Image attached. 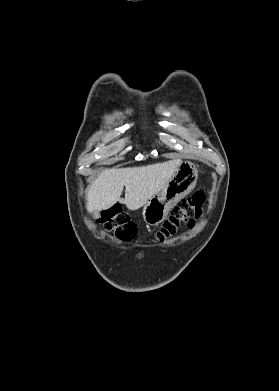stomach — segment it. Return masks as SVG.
Wrapping results in <instances>:
<instances>
[{
	"mask_svg": "<svg viewBox=\"0 0 279 391\" xmlns=\"http://www.w3.org/2000/svg\"><path fill=\"white\" fill-rule=\"evenodd\" d=\"M197 179L195 164L182 161L164 188L144 205V221L149 225H158L164 221L170 210L195 188Z\"/></svg>",
	"mask_w": 279,
	"mask_h": 391,
	"instance_id": "0dacf381",
	"label": "stomach"
}]
</instances>
